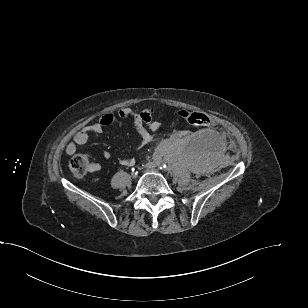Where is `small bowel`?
<instances>
[{
    "label": "small bowel",
    "mask_w": 308,
    "mask_h": 308,
    "mask_svg": "<svg viewBox=\"0 0 308 308\" xmlns=\"http://www.w3.org/2000/svg\"><path fill=\"white\" fill-rule=\"evenodd\" d=\"M153 115L154 110L150 107L141 111H135L131 108H122L118 112V116L121 119H128L133 122L136 131L140 135V139L136 145L137 150H142L149 145L153 139L152 132L159 131L162 127L160 122L153 119ZM116 121L117 118L113 114H104L96 123L88 125L78 131L74 135L73 141L67 145L66 152L70 155L73 154L77 146H82L88 142L91 135L101 133L104 127L112 125ZM103 156L109 158L110 154L104 152ZM119 162L124 166H133L135 164V160L130 158H122Z\"/></svg>",
    "instance_id": "1"
}]
</instances>
